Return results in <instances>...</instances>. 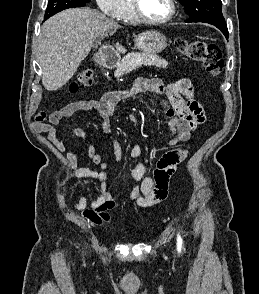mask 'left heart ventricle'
<instances>
[{"instance_id": "left-heart-ventricle-1", "label": "left heart ventricle", "mask_w": 259, "mask_h": 294, "mask_svg": "<svg viewBox=\"0 0 259 294\" xmlns=\"http://www.w3.org/2000/svg\"><path fill=\"white\" fill-rule=\"evenodd\" d=\"M144 15L151 19L164 18L170 10L169 0H139Z\"/></svg>"}]
</instances>
